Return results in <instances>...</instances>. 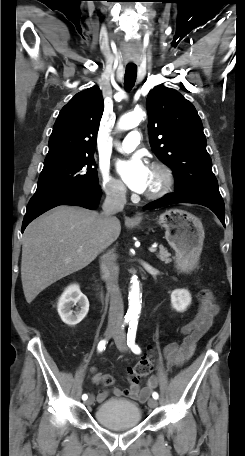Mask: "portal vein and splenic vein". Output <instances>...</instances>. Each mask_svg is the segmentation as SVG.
<instances>
[{
	"label": "portal vein and splenic vein",
	"mask_w": 245,
	"mask_h": 456,
	"mask_svg": "<svg viewBox=\"0 0 245 456\" xmlns=\"http://www.w3.org/2000/svg\"><path fill=\"white\" fill-rule=\"evenodd\" d=\"M149 251H150L151 253H154V252L156 251V248H155V247H150V248H149Z\"/></svg>",
	"instance_id": "1"
}]
</instances>
